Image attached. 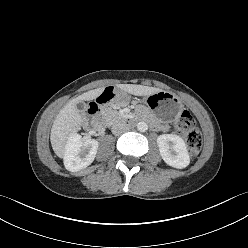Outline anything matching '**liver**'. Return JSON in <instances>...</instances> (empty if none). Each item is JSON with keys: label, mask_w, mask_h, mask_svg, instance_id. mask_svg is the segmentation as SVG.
Listing matches in <instances>:
<instances>
[{"label": "liver", "mask_w": 248, "mask_h": 248, "mask_svg": "<svg viewBox=\"0 0 248 248\" xmlns=\"http://www.w3.org/2000/svg\"><path fill=\"white\" fill-rule=\"evenodd\" d=\"M117 87L135 96H149L162 91L159 88L134 84H118ZM103 91L104 88L102 87L85 92L82 95L70 100L60 110L52 125L50 134L52 148L58 157L64 158L66 145L70 136L83 124V118L79 113L77 104L82 101L93 100Z\"/></svg>", "instance_id": "6515ba94"}]
</instances>
